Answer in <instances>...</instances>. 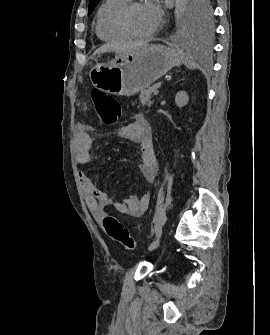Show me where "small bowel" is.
<instances>
[{
	"label": "small bowel",
	"mask_w": 270,
	"mask_h": 335,
	"mask_svg": "<svg viewBox=\"0 0 270 335\" xmlns=\"http://www.w3.org/2000/svg\"><path fill=\"white\" fill-rule=\"evenodd\" d=\"M91 126L79 123L75 127V138L77 142V161L82 165L91 163V147L93 138ZM121 138L137 144L140 148L141 159L136 165L138 175L153 181L156 176V160L152 148V132L150 124L144 119H136L120 128ZM81 186L86 194V203L95 219L103 216L104 208L113 205L115 209L130 217H140L149 206V196L141 197L132 195L128 198L114 201L108 194L100 189L83 171L78 173Z\"/></svg>",
	"instance_id": "small-bowel-1"
}]
</instances>
